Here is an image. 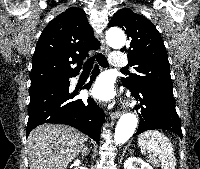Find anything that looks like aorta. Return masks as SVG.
<instances>
[{"label": "aorta", "instance_id": "obj_1", "mask_svg": "<svg viewBox=\"0 0 200 169\" xmlns=\"http://www.w3.org/2000/svg\"><path fill=\"white\" fill-rule=\"evenodd\" d=\"M106 41L114 49L124 47L125 34L121 30H109L106 33ZM138 125V118L133 113L123 114L115 128L114 141L118 145L125 143L134 133Z\"/></svg>", "mask_w": 200, "mask_h": 169}]
</instances>
